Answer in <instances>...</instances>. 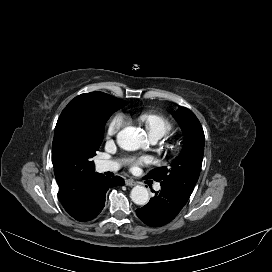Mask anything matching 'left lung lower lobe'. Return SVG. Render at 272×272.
I'll use <instances>...</instances> for the list:
<instances>
[{"mask_svg": "<svg viewBox=\"0 0 272 272\" xmlns=\"http://www.w3.org/2000/svg\"><path fill=\"white\" fill-rule=\"evenodd\" d=\"M187 199L165 186L150 199L148 204L136 210L138 217L148 226L159 227L171 222L186 204Z\"/></svg>", "mask_w": 272, "mask_h": 272, "instance_id": "1", "label": "left lung lower lobe"}]
</instances>
